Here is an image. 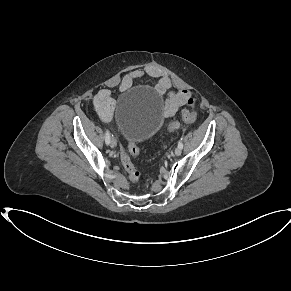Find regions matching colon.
<instances>
[{
  "mask_svg": "<svg viewBox=\"0 0 291 291\" xmlns=\"http://www.w3.org/2000/svg\"><path fill=\"white\" fill-rule=\"evenodd\" d=\"M187 106L183 107L180 111L179 118L174 120L169 127L170 131H174L177 128H179L181 121L184 122H193L196 119V110H195V105L196 101L193 97H190L187 102ZM130 155L133 157H136L139 155V148L137 144L135 143H129L128 144V149H121V161L123 164L124 169L126 170L129 180L132 183H136L140 179V173L139 171L134 167Z\"/></svg>",
  "mask_w": 291,
  "mask_h": 291,
  "instance_id": "5ec220e1",
  "label": "colon"
}]
</instances>
